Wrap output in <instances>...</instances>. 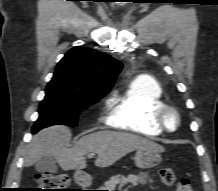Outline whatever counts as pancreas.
Masks as SVG:
<instances>
[{"instance_id": "obj_1", "label": "pancreas", "mask_w": 218, "mask_h": 191, "mask_svg": "<svg viewBox=\"0 0 218 191\" xmlns=\"http://www.w3.org/2000/svg\"><path fill=\"white\" fill-rule=\"evenodd\" d=\"M148 176L144 173H141L139 175H128L127 177L117 175L113 176L109 181L105 182L104 188L101 189H108V190H115L116 188L122 189L125 185H128V187H134L137 186L138 184H145L146 179Z\"/></svg>"}]
</instances>
